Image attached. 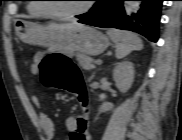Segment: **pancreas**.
<instances>
[{"label":"pancreas","mask_w":182,"mask_h":140,"mask_svg":"<svg viewBox=\"0 0 182 140\" xmlns=\"http://www.w3.org/2000/svg\"><path fill=\"white\" fill-rule=\"evenodd\" d=\"M76 58H77V61H78L79 65L83 69L90 70V69L95 68L94 59L88 57L87 55H85V54H77Z\"/></svg>","instance_id":"cf45deb5"}]
</instances>
